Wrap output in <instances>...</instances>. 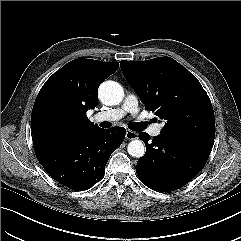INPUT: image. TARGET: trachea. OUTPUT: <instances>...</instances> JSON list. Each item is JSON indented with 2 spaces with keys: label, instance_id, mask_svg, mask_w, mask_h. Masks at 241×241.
Masks as SVG:
<instances>
[{
  "label": "trachea",
  "instance_id": "obj_1",
  "mask_svg": "<svg viewBox=\"0 0 241 241\" xmlns=\"http://www.w3.org/2000/svg\"><path fill=\"white\" fill-rule=\"evenodd\" d=\"M104 128H108L110 126L109 122H104ZM129 128L133 131H142L145 128V123H132L129 124Z\"/></svg>",
  "mask_w": 241,
  "mask_h": 241
}]
</instances>
